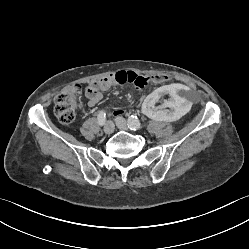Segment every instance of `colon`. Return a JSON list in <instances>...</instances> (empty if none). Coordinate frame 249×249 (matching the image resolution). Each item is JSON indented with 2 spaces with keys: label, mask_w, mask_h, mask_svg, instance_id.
I'll list each match as a JSON object with an SVG mask.
<instances>
[{
  "label": "colon",
  "mask_w": 249,
  "mask_h": 249,
  "mask_svg": "<svg viewBox=\"0 0 249 249\" xmlns=\"http://www.w3.org/2000/svg\"><path fill=\"white\" fill-rule=\"evenodd\" d=\"M176 82L172 75L152 74L147 77L134 76L131 83L137 89L145 88L151 82ZM82 94L80 85H70L55 97L54 114L63 124H71L76 118V107Z\"/></svg>",
  "instance_id": "obj_1"
}]
</instances>
